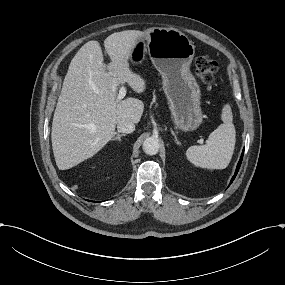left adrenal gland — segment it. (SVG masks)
Wrapping results in <instances>:
<instances>
[{"mask_svg": "<svg viewBox=\"0 0 285 285\" xmlns=\"http://www.w3.org/2000/svg\"><path fill=\"white\" fill-rule=\"evenodd\" d=\"M170 130H171V134L174 136V139H175L174 141L176 142V144L181 145V142L178 141L177 136H176L175 132L173 131V129L170 128Z\"/></svg>", "mask_w": 285, "mask_h": 285, "instance_id": "1", "label": "left adrenal gland"}]
</instances>
